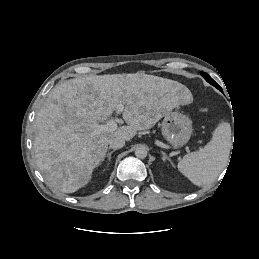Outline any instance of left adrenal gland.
<instances>
[{
  "label": "left adrenal gland",
  "instance_id": "a2214340",
  "mask_svg": "<svg viewBox=\"0 0 259 259\" xmlns=\"http://www.w3.org/2000/svg\"><path fill=\"white\" fill-rule=\"evenodd\" d=\"M161 154H162V159H163V161L168 160V161L172 164L171 159L166 155L165 152L161 151Z\"/></svg>",
  "mask_w": 259,
  "mask_h": 259
}]
</instances>
